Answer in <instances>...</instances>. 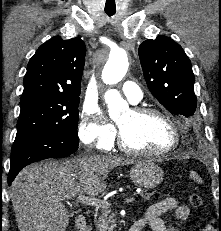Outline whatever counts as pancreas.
<instances>
[{
	"instance_id": "1",
	"label": "pancreas",
	"mask_w": 221,
	"mask_h": 231,
	"mask_svg": "<svg viewBox=\"0 0 221 231\" xmlns=\"http://www.w3.org/2000/svg\"><path fill=\"white\" fill-rule=\"evenodd\" d=\"M153 195V193L150 192H142L141 196L144 200H149L150 197ZM102 215L99 216L96 220V228L97 231H113L115 225L112 224L109 226L110 223H114V219L112 216H110V211L108 210V207L102 208Z\"/></svg>"
}]
</instances>
